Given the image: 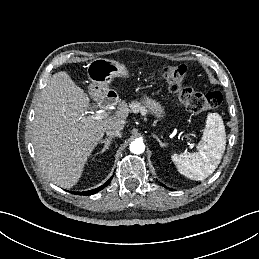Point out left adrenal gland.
Returning a JSON list of instances; mask_svg holds the SVG:
<instances>
[{
    "label": "left adrenal gland",
    "mask_w": 259,
    "mask_h": 259,
    "mask_svg": "<svg viewBox=\"0 0 259 259\" xmlns=\"http://www.w3.org/2000/svg\"><path fill=\"white\" fill-rule=\"evenodd\" d=\"M153 137L157 139V141L159 142L161 147H165L166 146L164 143H162V141L157 136L153 135Z\"/></svg>",
    "instance_id": "a2214340"
}]
</instances>
